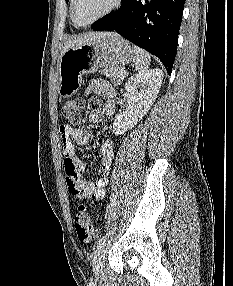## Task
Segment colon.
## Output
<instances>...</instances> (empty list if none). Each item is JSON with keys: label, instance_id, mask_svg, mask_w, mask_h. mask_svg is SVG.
Masks as SVG:
<instances>
[{"label": "colon", "instance_id": "5ec220e1", "mask_svg": "<svg viewBox=\"0 0 233 286\" xmlns=\"http://www.w3.org/2000/svg\"><path fill=\"white\" fill-rule=\"evenodd\" d=\"M85 102L81 98L68 100L62 106V116L72 124L81 122ZM75 230L82 242H91L96 238L92 216L86 205H79L75 217Z\"/></svg>", "mask_w": 233, "mask_h": 286}]
</instances>
